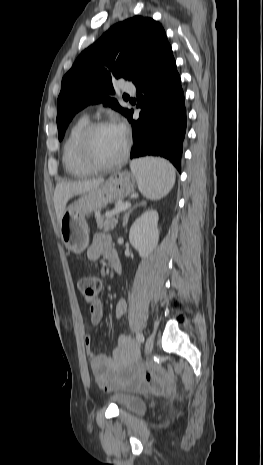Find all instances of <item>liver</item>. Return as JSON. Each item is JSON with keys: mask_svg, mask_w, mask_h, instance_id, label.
I'll return each instance as SVG.
<instances>
[{"mask_svg": "<svg viewBox=\"0 0 263 465\" xmlns=\"http://www.w3.org/2000/svg\"><path fill=\"white\" fill-rule=\"evenodd\" d=\"M104 182L103 178L58 183L54 191V206L58 222L66 209L67 202L75 195L86 193Z\"/></svg>", "mask_w": 263, "mask_h": 465, "instance_id": "liver-1", "label": "liver"}]
</instances>
